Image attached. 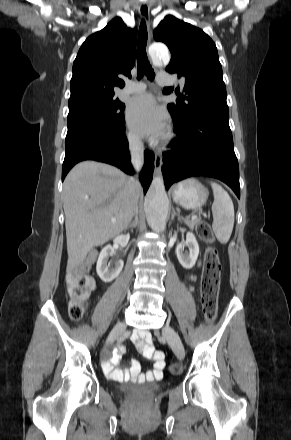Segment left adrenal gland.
Segmentation results:
<instances>
[{"mask_svg":"<svg viewBox=\"0 0 291 440\" xmlns=\"http://www.w3.org/2000/svg\"><path fill=\"white\" fill-rule=\"evenodd\" d=\"M175 216L178 217V220L181 219L180 215H179L178 213H176V211L173 209V212H172V216H171V218L173 219Z\"/></svg>","mask_w":291,"mask_h":440,"instance_id":"obj_1","label":"left adrenal gland"}]
</instances>
